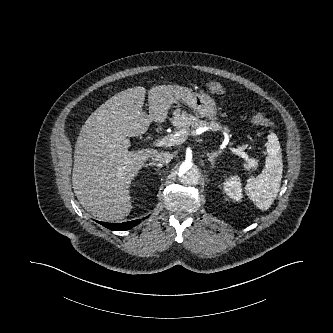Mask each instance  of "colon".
I'll list each match as a JSON object with an SVG mask.
<instances>
[{"label":"colon","mask_w":333,"mask_h":333,"mask_svg":"<svg viewBox=\"0 0 333 333\" xmlns=\"http://www.w3.org/2000/svg\"><path fill=\"white\" fill-rule=\"evenodd\" d=\"M206 88L210 92L215 93V94H224L225 93L224 87L218 82H208L206 84ZM251 121H252V123L259 125V126H264V127L273 126V122L271 120H269L266 116H264L263 114H260V113L253 114L251 116Z\"/></svg>","instance_id":"1"}]
</instances>
